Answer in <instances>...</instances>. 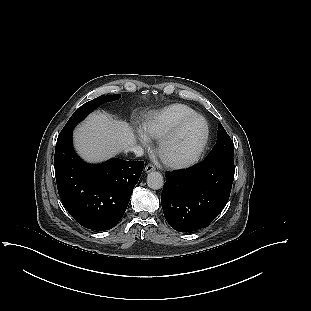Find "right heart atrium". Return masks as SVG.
Masks as SVG:
<instances>
[{
  "instance_id": "obj_1",
  "label": "right heart atrium",
  "mask_w": 311,
  "mask_h": 311,
  "mask_svg": "<svg viewBox=\"0 0 311 311\" xmlns=\"http://www.w3.org/2000/svg\"><path fill=\"white\" fill-rule=\"evenodd\" d=\"M139 138H140V141H141L142 144H146L147 143L146 138L143 135H141L140 133H139Z\"/></svg>"
}]
</instances>
